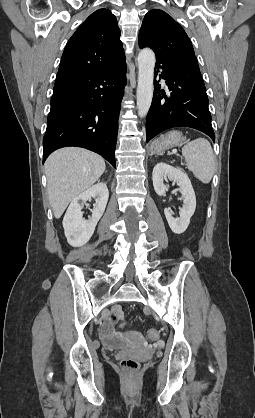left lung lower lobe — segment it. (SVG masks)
Listing matches in <instances>:
<instances>
[{"mask_svg": "<svg viewBox=\"0 0 255 418\" xmlns=\"http://www.w3.org/2000/svg\"><path fill=\"white\" fill-rule=\"evenodd\" d=\"M154 94L146 120V142L172 127H191L215 141L208 97L196 57L156 59ZM165 80L168 93L156 81Z\"/></svg>", "mask_w": 255, "mask_h": 418, "instance_id": "1", "label": "left lung lower lobe"}]
</instances>
